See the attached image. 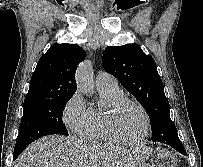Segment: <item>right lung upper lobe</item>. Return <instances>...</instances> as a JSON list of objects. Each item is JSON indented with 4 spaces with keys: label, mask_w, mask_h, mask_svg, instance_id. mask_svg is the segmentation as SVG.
<instances>
[{
    "label": "right lung upper lobe",
    "mask_w": 203,
    "mask_h": 167,
    "mask_svg": "<svg viewBox=\"0 0 203 167\" xmlns=\"http://www.w3.org/2000/svg\"><path fill=\"white\" fill-rule=\"evenodd\" d=\"M86 52L75 44H53L41 56L32 75L24 102L73 96L75 71Z\"/></svg>",
    "instance_id": "right-lung-upper-lobe-1"
}]
</instances>
